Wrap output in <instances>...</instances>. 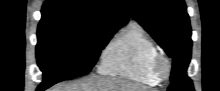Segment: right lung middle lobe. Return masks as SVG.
I'll use <instances>...</instances> for the list:
<instances>
[{
  "mask_svg": "<svg viewBox=\"0 0 220 91\" xmlns=\"http://www.w3.org/2000/svg\"><path fill=\"white\" fill-rule=\"evenodd\" d=\"M117 30L80 24L39 25L36 55L43 72L40 86L48 88L88 74Z\"/></svg>",
  "mask_w": 220,
  "mask_h": 91,
  "instance_id": "1",
  "label": "right lung middle lobe"
}]
</instances>
